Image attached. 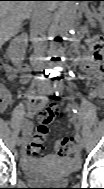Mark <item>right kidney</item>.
Returning a JSON list of instances; mask_svg holds the SVG:
<instances>
[{"mask_svg": "<svg viewBox=\"0 0 104 189\" xmlns=\"http://www.w3.org/2000/svg\"><path fill=\"white\" fill-rule=\"evenodd\" d=\"M27 42L26 34H21L11 41L7 49V56L14 65H18L24 60Z\"/></svg>", "mask_w": 104, "mask_h": 189, "instance_id": "ca27d5eb", "label": "right kidney"}]
</instances>
